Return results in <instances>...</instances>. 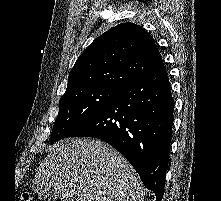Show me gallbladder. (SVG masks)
<instances>
[{
  "mask_svg": "<svg viewBox=\"0 0 221 201\" xmlns=\"http://www.w3.org/2000/svg\"><path fill=\"white\" fill-rule=\"evenodd\" d=\"M37 194L40 201H56L59 198L54 188H41Z\"/></svg>",
  "mask_w": 221,
  "mask_h": 201,
  "instance_id": "obj_1",
  "label": "gallbladder"
}]
</instances>
